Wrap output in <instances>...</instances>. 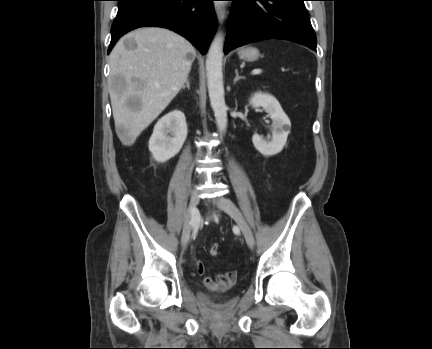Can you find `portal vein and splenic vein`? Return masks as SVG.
Here are the masks:
<instances>
[{"mask_svg":"<svg viewBox=\"0 0 432 349\" xmlns=\"http://www.w3.org/2000/svg\"><path fill=\"white\" fill-rule=\"evenodd\" d=\"M260 73H262V69H260V68H258V69H254V70L252 71V74H253V75H255V74H260Z\"/></svg>","mask_w":432,"mask_h":349,"instance_id":"18ae733b","label":"portal vein and splenic vein"}]
</instances>
